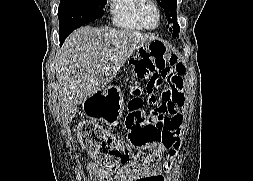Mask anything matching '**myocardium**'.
Wrapping results in <instances>:
<instances>
[{"label":"myocardium","instance_id":"myocardium-1","mask_svg":"<svg viewBox=\"0 0 253 181\" xmlns=\"http://www.w3.org/2000/svg\"><path fill=\"white\" fill-rule=\"evenodd\" d=\"M148 7H152L157 15V23L155 26H149L145 19V11ZM137 18L142 27L146 30H155L161 24L162 14L158 3L155 0H141L137 8Z\"/></svg>","mask_w":253,"mask_h":181}]
</instances>
